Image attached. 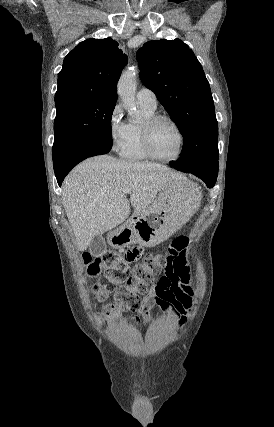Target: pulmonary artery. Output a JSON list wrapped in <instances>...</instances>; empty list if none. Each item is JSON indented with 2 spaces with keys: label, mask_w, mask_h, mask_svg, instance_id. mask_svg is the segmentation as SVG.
I'll return each instance as SVG.
<instances>
[{
  "label": "pulmonary artery",
  "mask_w": 274,
  "mask_h": 427,
  "mask_svg": "<svg viewBox=\"0 0 274 427\" xmlns=\"http://www.w3.org/2000/svg\"><path fill=\"white\" fill-rule=\"evenodd\" d=\"M137 102L141 107L156 110L157 108V98L156 95L147 88H141L137 92Z\"/></svg>",
  "instance_id": "1"
}]
</instances>
